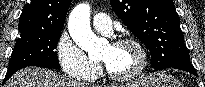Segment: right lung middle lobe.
I'll return each mask as SVG.
<instances>
[{"label":"right lung middle lobe","mask_w":205,"mask_h":87,"mask_svg":"<svg viewBox=\"0 0 205 87\" xmlns=\"http://www.w3.org/2000/svg\"><path fill=\"white\" fill-rule=\"evenodd\" d=\"M61 31L20 32L9 60V68L16 66H40L59 69L56 51Z\"/></svg>","instance_id":"1"}]
</instances>
